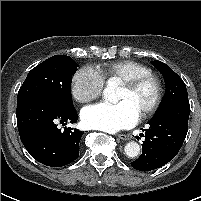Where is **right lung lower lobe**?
Wrapping results in <instances>:
<instances>
[{"label": "right lung lower lobe", "instance_id": "right-lung-lower-lobe-1", "mask_svg": "<svg viewBox=\"0 0 201 201\" xmlns=\"http://www.w3.org/2000/svg\"><path fill=\"white\" fill-rule=\"evenodd\" d=\"M17 125L20 139L38 162L65 166L79 156V141L84 132L57 128V123H76L74 107H64L49 97L34 96L17 103Z\"/></svg>", "mask_w": 201, "mask_h": 201}]
</instances>
